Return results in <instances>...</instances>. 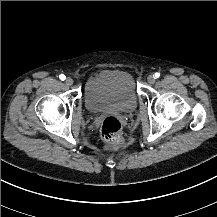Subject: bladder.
Wrapping results in <instances>:
<instances>
[{
  "instance_id": "31cf9c89",
  "label": "bladder",
  "mask_w": 217,
  "mask_h": 217,
  "mask_svg": "<svg viewBox=\"0 0 217 217\" xmlns=\"http://www.w3.org/2000/svg\"><path fill=\"white\" fill-rule=\"evenodd\" d=\"M85 100L91 112L106 110L133 112L137 107L138 95L129 73L110 71L87 81Z\"/></svg>"
}]
</instances>
